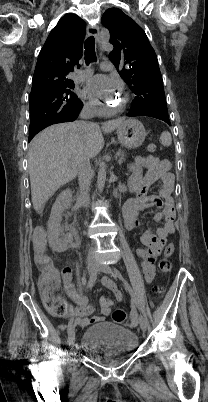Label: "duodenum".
Instances as JSON below:
<instances>
[{"label": "duodenum", "mask_w": 208, "mask_h": 402, "mask_svg": "<svg viewBox=\"0 0 208 402\" xmlns=\"http://www.w3.org/2000/svg\"><path fill=\"white\" fill-rule=\"evenodd\" d=\"M123 190H124V188L118 189V190H117V194H118L119 192H122Z\"/></svg>", "instance_id": "duodenum-1"}]
</instances>
